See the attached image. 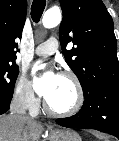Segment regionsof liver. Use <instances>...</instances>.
Instances as JSON below:
<instances>
[{"label": "liver", "mask_w": 119, "mask_h": 141, "mask_svg": "<svg viewBox=\"0 0 119 141\" xmlns=\"http://www.w3.org/2000/svg\"><path fill=\"white\" fill-rule=\"evenodd\" d=\"M43 129L40 123L21 116H0V141H36Z\"/></svg>", "instance_id": "liver-1"}]
</instances>
